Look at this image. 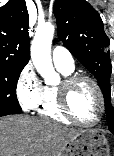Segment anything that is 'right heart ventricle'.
Returning a JSON list of instances; mask_svg holds the SVG:
<instances>
[{"instance_id": "right-heart-ventricle-1", "label": "right heart ventricle", "mask_w": 114, "mask_h": 156, "mask_svg": "<svg viewBox=\"0 0 114 156\" xmlns=\"http://www.w3.org/2000/svg\"><path fill=\"white\" fill-rule=\"evenodd\" d=\"M58 71L67 77L73 70L57 67ZM41 117L49 118L61 123L68 124L70 120L60 110L58 86L46 85L43 87L41 100L34 109Z\"/></svg>"}]
</instances>
